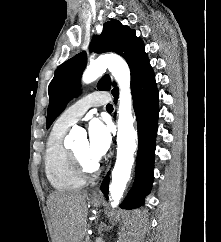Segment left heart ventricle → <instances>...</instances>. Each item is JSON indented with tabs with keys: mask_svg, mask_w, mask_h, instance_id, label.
Listing matches in <instances>:
<instances>
[{
	"mask_svg": "<svg viewBox=\"0 0 221 242\" xmlns=\"http://www.w3.org/2000/svg\"><path fill=\"white\" fill-rule=\"evenodd\" d=\"M75 153L79 156V158L86 163L87 165H91L94 162L90 159L88 154V142L83 140L79 142L73 149Z\"/></svg>",
	"mask_w": 221,
	"mask_h": 242,
	"instance_id": "left-heart-ventricle-1",
	"label": "left heart ventricle"
}]
</instances>
